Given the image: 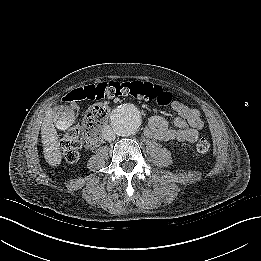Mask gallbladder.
I'll list each match as a JSON object with an SVG mask.
<instances>
[{
  "label": "gallbladder",
  "instance_id": "obj_1",
  "mask_svg": "<svg viewBox=\"0 0 261 261\" xmlns=\"http://www.w3.org/2000/svg\"><path fill=\"white\" fill-rule=\"evenodd\" d=\"M75 120L74 112L66 106H58L53 118L54 125L59 130L68 129Z\"/></svg>",
  "mask_w": 261,
  "mask_h": 261
}]
</instances>
